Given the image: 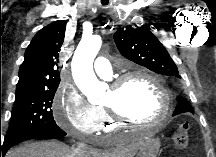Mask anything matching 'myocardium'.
Segmentation results:
<instances>
[{
	"mask_svg": "<svg viewBox=\"0 0 216 157\" xmlns=\"http://www.w3.org/2000/svg\"><path fill=\"white\" fill-rule=\"evenodd\" d=\"M132 78L146 79L157 88L162 98L161 112L158 117L152 121H140L134 120L124 115L115 104L104 103V109L106 110L112 121L116 125L127 124L135 127L157 126L164 123L167 120L171 110L170 94L166 87L152 74L143 70H134L127 72L112 81L110 85L111 92L115 95L118 94L124 84Z\"/></svg>",
	"mask_w": 216,
	"mask_h": 157,
	"instance_id": "1",
	"label": "myocardium"
}]
</instances>
